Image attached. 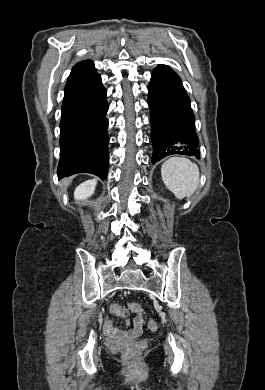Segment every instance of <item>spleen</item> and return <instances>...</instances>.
<instances>
[{
	"mask_svg": "<svg viewBox=\"0 0 265 390\" xmlns=\"http://www.w3.org/2000/svg\"><path fill=\"white\" fill-rule=\"evenodd\" d=\"M166 187L178 198L191 196L199 184V168L187 158L172 157L161 167Z\"/></svg>",
	"mask_w": 265,
	"mask_h": 390,
	"instance_id": "obj_1",
	"label": "spleen"
}]
</instances>
